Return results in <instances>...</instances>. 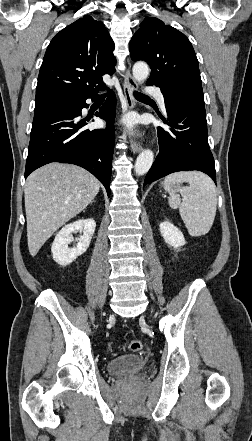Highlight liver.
<instances>
[{"label": "liver", "mask_w": 252, "mask_h": 441, "mask_svg": "<svg viewBox=\"0 0 252 441\" xmlns=\"http://www.w3.org/2000/svg\"><path fill=\"white\" fill-rule=\"evenodd\" d=\"M99 181L71 164L50 163L31 173L25 184L27 242L35 256L50 236L97 196Z\"/></svg>", "instance_id": "1"}]
</instances>
